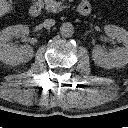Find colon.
Listing matches in <instances>:
<instances>
[{"instance_id":"1","label":"colon","mask_w":128,"mask_h":128,"mask_svg":"<svg viewBox=\"0 0 128 128\" xmlns=\"http://www.w3.org/2000/svg\"><path fill=\"white\" fill-rule=\"evenodd\" d=\"M11 3H14V2H16L17 0H9Z\"/></svg>"}]
</instances>
